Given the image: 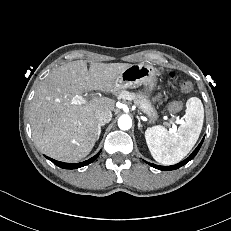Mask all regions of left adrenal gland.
Masks as SVG:
<instances>
[{"label":"left adrenal gland","instance_id":"a2214340","mask_svg":"<svg viewBox=\"0 0 231 231\" xmlns=\"http://www.w3.org/2000/svg\"><path fill=\"white\" fill-rule=\"evenodd\" d=\"M138 129L139 130H142V125H141V122H140V119L138 118Z\"/></svg>","mask_w":231,"mask_h":231}]
</instances>
